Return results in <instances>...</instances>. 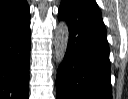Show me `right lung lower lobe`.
Wrapping results in <instances>:
<instances>
[{
  "instance_id": "1",
  "label": "right lung lower lobe",
  "mask_w": 128,
  "mask_h": 99,
  "mask_svg": "<svg viewBox=\"0 0 128 99\" xmlns=\"http://www.w3.org/2000/svg\"><path fill=\"white\" fill-rule=\"evenodd\" d=\"M29 6L0 24V99H28Z\"/></svg>"
}]
</instances>
